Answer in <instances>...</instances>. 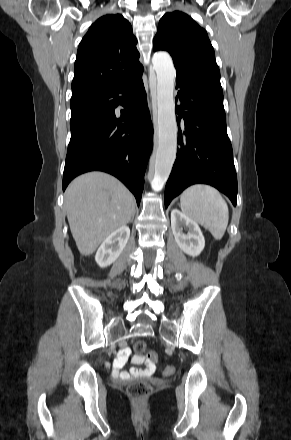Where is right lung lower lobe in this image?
<instances>
[{"instance_id": "obj_1", "label": "right lung lower lobe", "mask_w": 291, "mask_h": 440, "mask_svg": "<svg viewBox=\"0 0 291 440\" xmlns=\"http://www.w3.org/2000/svg\"><path fill=\"white\" fill-rule=\"evenodd\" d=\"M118 105L126 109L121 110L120 118L114 110ZM70 107L71 139L63 190L79 174L104 171L121 180L139 206L153 147V127L142 72L114 88L74 95Z\"/></svg>"}]
</instances>
